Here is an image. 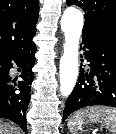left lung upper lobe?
Here are the masks:
<instances>
[{
    "mask_svg": "<svg viewBox=\"0 0 116 134\" xmlns=\"http://www.w3.org/2000/svg\"><path fill=\"white\" fill-rule=\"evenodd\" d=\"M85 12L83 34H96L116 40V0H66Z\"/></svg>",
    "mask_w": 116,
    "mask_h": 134,
    "instance_id": "5c2ea615",
    "label": "left lung upper lobe"
}]
</instances>
